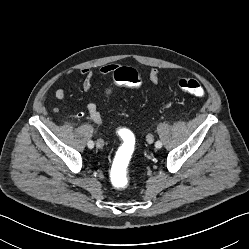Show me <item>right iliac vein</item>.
Listing matches in <instances>:
<instances>
[{
	"instance_id": "63e3f726",
	"label": "right iliac vein",
	"mask_w": 249,
	"mask_h": 249,
	"mask_svg": "<svg viewBox=\"0 0 249 249\" xmlns=\"http://www.w3.org/2000/svg\"><path fill=\"white\" fill-rule=\"evenodd\" d=\"M96 147L102 149L104 147V141L102 139H98L96 142Z\"/></svg>"
}]
</instances>
